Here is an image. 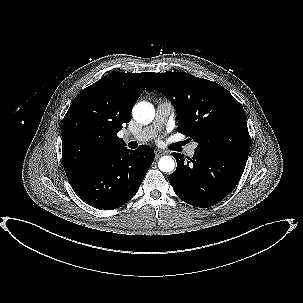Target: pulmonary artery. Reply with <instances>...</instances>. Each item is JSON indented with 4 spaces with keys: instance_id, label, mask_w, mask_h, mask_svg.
I'll return each instance as SVG.
<instances>
[{
    "instance_id": "pulmonary-artery-1",
    "label": "pulmonary artery",
    "mask_w": 303,
    "mask_h": 303,
    "mask_svg": "<svg viewBox=\"0 0 303 303\" xmlns=\"http://www.w3.org/2000/svg\"><path fill=\"white\" fill-rule=\"evenodd\" d=\"M171 111L172 106L169 102L160 101L157 105L156 116L153 124L151 126L140 129L135 133L125 135L124 140L127 142L136 141L138 143H143L152 139L155 136L156 132L166 124ZM196 147L197 143L188 145L186 148L187 155L194 156Z\"/></svg>"
}]
</instances>
